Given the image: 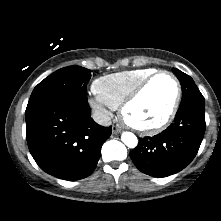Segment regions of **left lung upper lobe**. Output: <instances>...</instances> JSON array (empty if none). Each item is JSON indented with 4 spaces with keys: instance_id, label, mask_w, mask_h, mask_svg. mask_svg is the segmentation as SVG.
I'll list each match as a JSON object with an SVG mask.
<instances>
[{
    "instance_id": "1",
    "label": "left lung upper lobe",
    "mask_w": 221,
    "mask_h": 221,
    "mask_svg": "<svg viewBox=\"0 0 221 221\" xmlns=\"http://www.w3.org/2000/svg\"><path fill=\"white\" fill-rule=\"evenodd\" d=\"M173 72L179 79L182 87V100L180 106L189 102L205 103L204 97L195 85L193 79L177 68H173Z\"/></svg>"
}]
</instances>
